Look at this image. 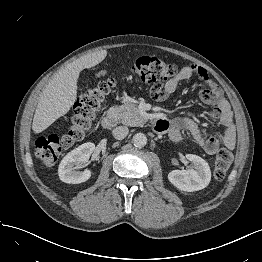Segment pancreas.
Masks as SVG:
<instances>
[{"mask_svg": "<svg viewBox=\"0 0 262 262\" xmlns=\"http://www.w3.org/2000/svg\"><path fill=\"white\" fill-rule=\"evenodd\" d=\"M111 112L114 119L124 125L142 126L145 121L137 105L128 100H125L120 106L112 107Z\"/></svg>", "mask_w": 262, "mask_h": 262, "instance_id": "1", "label": "pancreas"}]
</instances>
